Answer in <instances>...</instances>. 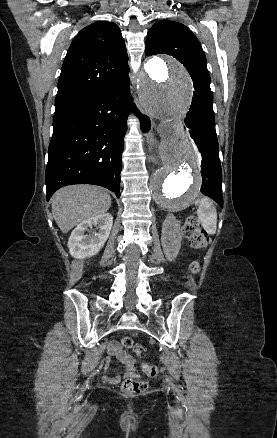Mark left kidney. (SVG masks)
Returning a JSON list of instances; mask_svg holds the SVG:
<instances>
[{
  "label": "left kidney",
  "instance_id": "5707ae66",
  "mask_svg": "<svg viewBox=\"0 0 277 438\" xmlns=\"http://www.w3.org/2000/svg\"><path fill=\"white\" fill-rule=\"evenodd\" d=\"M161 244L166 260L173 262L181 248L180 222L173 214H167L162 226Z\"/></svg>",
  "mask_w": 277,
  "mask_h": 438
}]
</instances>
